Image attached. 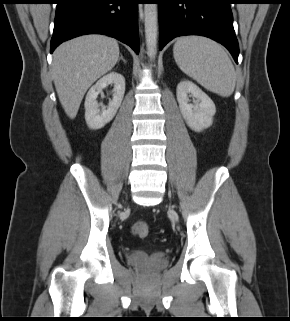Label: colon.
Returning a JSON list of instances; mask_svg holds the SVG:
<instances>
[{
    "label": "colon",
    "instance_id": "1",
    "mask_svg": "<svg viewBox=\"0 0 290 321\" xmlns=\"http://www.w3.org/2000/svg\"><path fill=\"white\" fill-rule=\"evenodd\" d=\"M150 232L149 225L144 221H137L133 225V233L141 239L148 238L150 236Z\"/></svg>",
    "mask_w": 290,
    "mask_h": 321
}]
</instances>
